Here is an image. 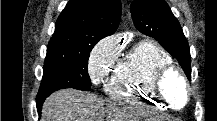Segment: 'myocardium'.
Segmentation results:
<instances>
[{"instance_id":"f54148a6","label":"myocardium","mask_w":217,"mask_h":121,"mask_svg":"<svg viewBox=\"0 0 217 121\" xmlns=\"http://www.w3.org/2000/svg\"><path fill=\"white\" fill-rule=\"evenodd\" d=\"M172 77L178 78L184 88V101L179 106L165 92V83ZM151 84L155 97L173 110H182L190 101L191 90L189 82L184 73L175 65L170 64L158 69L154 74Z\"/></svg>"}]
</instances>
